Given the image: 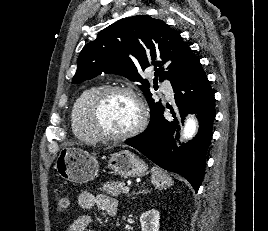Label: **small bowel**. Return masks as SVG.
I'll return each mask as SVG.
<instances>
[{"label": "small bowel", "mask_w": 268, "mask_h": 231, "mask_svg": "<svg viewBox=\"0 0 268 231\" xmlns=\"http://www.w3.org/2000/svg\"><path fill=\"white\" fill-rule=\"evenodd\" d=\"M77 204L82 209H91L97 207L100 211L107 215H115L117 212V201L107 195H95L88 191H83L78 195ZM92 222L90 216H80L74 220L66 231H88Z\"/></svg>", "instance_id": "small-bowel-1"}]
</instances>
